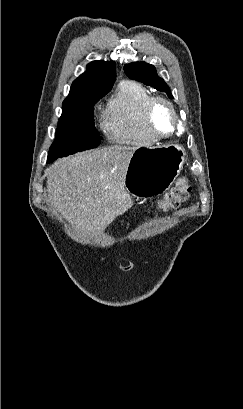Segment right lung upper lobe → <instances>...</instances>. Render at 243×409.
<instances>
[{
  "mask_svg": "<svg viewBox=\"0 0 243 409\" xmlns=\"http://www.w3.org/2000/svg\"><path fill=\"white\" fill-rule=\"evenodd\" d=\"M116 77L113 61L96 60L73 83L63 107H84L95 104L112 88Z\"/></svg>",
  "mask_w": 243,
  "mask_h": 409,
  "instance_id": "1",
  "label": "right lung upper lobe"
}]
</instances>
